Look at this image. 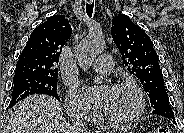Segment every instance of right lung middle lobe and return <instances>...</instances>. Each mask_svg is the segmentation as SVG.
I'll list each match as a JSON object with an SVG mask.
<instances>
[{
	"mask_svg": "<svg viewBox=\"0 0 184 133\" xmlns=\"http://www.w3.org/2000/svg\"><path fill=\"white\" fill-rule=\"evenodd\" d=\"M57 82L56 77H44V76H31V77H19L14 78L12 100L10 101L9 108L14 106L18 101L33 94H46L55 97L59 100L57 94Z\"/></svg>",
	"mask_w": 184,
	"mask_h": 133,
	"instance_id": "1",
	"label": "right lung middle lobe"
}]
</instances>
